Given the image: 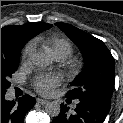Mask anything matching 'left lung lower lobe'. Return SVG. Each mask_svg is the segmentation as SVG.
<instances>
[{"label":"left lung lower lobe","mask_w":123,"mask_h":123,"mask_svg":"<svg viewBox=\"0 0 123 123\" xmlns=\"http://www.w3.org/2000/svg\"><path fill=\"white\" fill-rule=\"evenodd\" d=\"M109 109L101 103L80 99L72 114L67 105L61 104V112L53 123H103Z\"/></svg>","instance_id":"1"}]
</instances>
